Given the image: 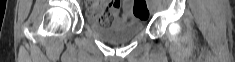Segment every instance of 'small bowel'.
<instances>
[{"mask_svg":"<svg viewBox=\"0 0 235 62\" xmlns=\"http://www.w3.org/2000/svg\"><path fill=\"white\" fill-rule=\"evenodd\" d=\"M103 5V2H94L90 5L88 9V17L91 21L93 22H99V16H100V9L101 6ZM109 13L111 15L112 21L115 17L118 16L119 14V9H120V1H110L106 4ZM124 10L126 13H128L131 10V2L130 1H125L124 3ZM127 17V15H125Z\"/></svg>","mask_w":235,"mask_h":62,"instance_id":"obj_1","label":"small bowel"}]
</instances>
